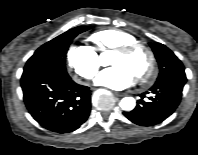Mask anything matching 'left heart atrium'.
Segmentation results:
<instances>
[{
    "instance_id": "1",
    "label": "left heart atrium",
    "mask_w": 198,
    "mask_h": 155,
    "mask_svg": "<svg viewBox=\"0 0 198 155\" xmlns=\"http://www.w3.org/2000/svg\"><path fill=\"white\" fill-rule=\"evenodd\" d=\"M135 81L134 74L123 65H114L100 72L95 83L113 90H122L131 86Z\"/></svg>"
}]
</instances>
